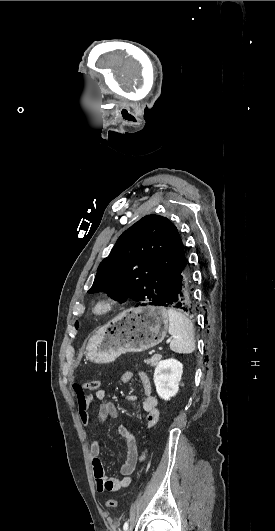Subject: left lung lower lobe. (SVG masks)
Here are the masks:
<instances>
[{"mask_svg":"<svg viewBox=\"0 0 275 531\" xmlns=\"http://www.w3.org/2000/svg\"><path fill=\"white\" fill-rule=\"evenodd\" d=\"M163 306L176 308L188 315H194L196 301L194 297L193 281L191 278L189 263L182 270L174 290Z\"/></svg>","mask_w":275,"mask_h":531,"instance_id":"obj_1","label":"left lung lower lobe"}]
</instances>
